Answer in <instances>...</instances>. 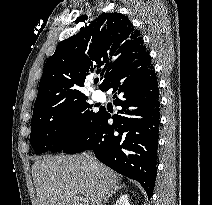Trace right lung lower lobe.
Segmentation results:
<instances>
[{
	"instance_id": "right-lung-lower-lobe-1",
	"label": "right lung lower lobe",
	"mask_w": 212,
	"mask_h": 205,
	"mask_svg": "<svg viewBox=\"0 0 212 205\" xmlns=\"http://www.w3.org/2000/svg\"><path fill=\"white\" fill-rule=\"evenodd\" d=\"M109 89H113L114 104L122 107L119 115L111 117L101 110L92 127L62 151L93 150L98 160L137 180L150 199L156 180L160 102L149 52L121 68L104 90ZM110 118L112 125L108 124Z\"/></svg>"
}]
</instances>
